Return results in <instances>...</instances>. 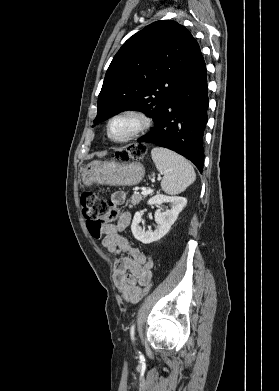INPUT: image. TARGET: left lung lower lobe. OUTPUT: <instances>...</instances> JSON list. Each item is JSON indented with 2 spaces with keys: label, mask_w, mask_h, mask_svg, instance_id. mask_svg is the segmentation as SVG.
Segmentation results:
<instances>
[{
  "label": "left lung lower lobe",
  "mask_w": 279,
  "mask_h": 391,
  "mask_svg": "<svg viewBox=\"0 0 279 391\" xmlns=\"http://www.w3.org/2000/svg\"><path fill=\"white\" fill-rule=\"evenodd\" d=\"M207 110L206 66L201 56L193 71L162 108L152 131L138 141L171 149L188 158L202 172Z\"/></svg>",
  "instance_id": "1"
}]
</instances>
